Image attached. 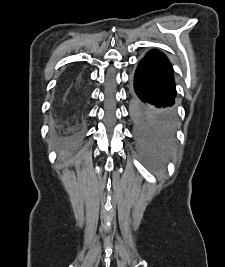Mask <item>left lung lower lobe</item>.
Masks as SVG:
<instances>
[{
	"label": "left lung lower lobe",
	"mask_w": 225,
	"mask_h": 267,
	"mask_svg": "<svg viewBox=\"0 0 225 267\" xmlns=\"http://www.w3.org/2000/svg\"><path fill=\"white\" fill-rule=\"evenodd\" d=\"M133 91L138 104L146 106L156 123L176 127L174 109L176 86L173 68L166 55L150 50L139 62L133 79Z\"/></svg>",
	"instance_id": "left-lung-lower-lobe-1"
}]
</instances>
